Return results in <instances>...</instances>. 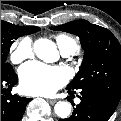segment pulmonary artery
<instances>
[{"label":"pulmonary artery","mask_w":121,"mask_h":121,"mask_svg":"<svg viewBox=\"0 0 121 121\" xmlns=\"http://www.w3.org/2000/svg\"><path fill=\"white\" fill-rule=\"evenodd\" d=\"M61 52H62L63 56H69V55L75 53L76 50L73 49V48H71V49L68 48V49H63V50H61ZM78 102H79V101H78Z\"/></svg>","instance_id":"1"}]
</instances>
